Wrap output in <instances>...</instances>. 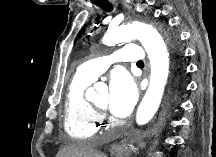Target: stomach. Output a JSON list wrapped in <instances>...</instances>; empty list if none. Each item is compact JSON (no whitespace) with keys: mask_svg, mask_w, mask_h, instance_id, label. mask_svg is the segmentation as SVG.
Here are the masks:
<instances>
[{"mask_svg":"<svg viewBox=\"0 0 216 157\" xmlns=\"http://www.w3.org/2000/svg\"><path fill=\"white\" fill-rule=\"evenodd\" d=\"M139 146H143L142 143H139ZM137 148L133 145H127L126 148L123 150V154H130L132 151L136 150Z\"/></svg>","mask_w":216,"mask_h":157,"instance_id":"stomach-1","label":"stomach"}]
</instances>
